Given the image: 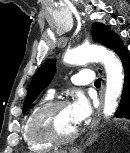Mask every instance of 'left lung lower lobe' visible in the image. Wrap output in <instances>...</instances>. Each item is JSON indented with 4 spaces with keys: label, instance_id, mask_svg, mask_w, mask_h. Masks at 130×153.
Segmentation results:
<instances>
[{
    "label": "left lung lower lobe",
    "instance_id": "obj_1",
    "mask_svg": "<svg viewBox=\"0 0 130 153\" xmlns=\"http://www.w3.org/2000/svg\"><path fill=\"white\" fill-rule=\"evenodd\" d=\"M106 47L113 49L120 57L124 72V88L120 106L115 113L116 117H127L130 119V55L126 47L123 46L120 38L113 34L105 44Z\"/></svg>",
    "mask_w": 130,
    "mask_h": 153
}]
</instances>
